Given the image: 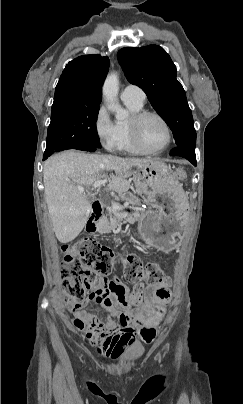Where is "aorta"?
Segmentation results:
<instances>
[{"label":"aorta","instance_id":"obj_1","mask_svg":"<svg viewBox=\"0 0 243 404\" xmlns=\"http://www.w3.org/2000/svg\"><path fill=\"white\" fill-rule=\"evenodd\" d=\"M118 90L119 80L117 74H109L103 86L104 100L107 102L106 106L108 110L114 112L116 120L122 122V120H126L128 112L127 110H124V108H121L117 100Z\"/></svg>","mask_w":243,"mask_h":404}]
</instances>
